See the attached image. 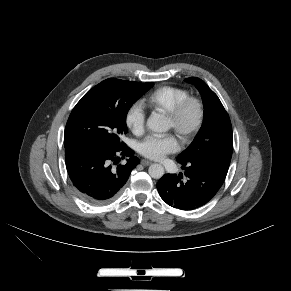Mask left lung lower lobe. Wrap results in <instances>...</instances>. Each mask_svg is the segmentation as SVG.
Here are the masks:
<instances>
[{
    "label": "left lung lower lobe",
    "instance_id": "1",
    "mask_svg": "<svg viewBox=\"0 0 291 291\" xmlns=\"http://www.w3.org/2000/svg\"><path fill=\"white\" fill-rule=\"evenodd\" d=\"M185 176L166 174L157 183L165 203L181 210H193L205 205L218 192L228 172L229 164L197 159L180 163Z\"/></svg>",
    "mask_w": 291,
    "mask_h": 291
}]
</instances>
